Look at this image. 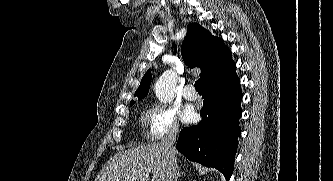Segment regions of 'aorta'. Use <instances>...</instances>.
<instances>
[{"instance_id":"1","label":"aorta","mask_w":333,"mask_h":181,"mask_svg":"<svg viewBox=\"0 0 333 181\" xmlns=\"http://www.w3.org/2000/svg\"><path fill=\"white\" fill-rule=\"evenodd\" d=\"M177 75L173 70H166L155 84V94L162 103H170L175 98Z\"/></svg>"}]
</instances>
